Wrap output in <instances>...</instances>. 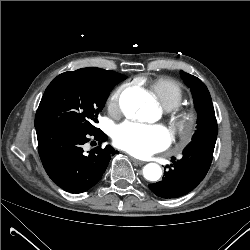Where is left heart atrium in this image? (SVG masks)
<instances>
[{"label":"left heart atrium","mask_w":250,"mask_h":250,"mask_svg":"<svg viewBox=\"0 0 250 250\" xmlns=\"http://www.w3.org/2000/svg\"><path fill=\"white\" fill-rule=\"evenodd\" d=\"M117 147L136 157H147L166 149L172 142L171 133L162 125L125 122L114 133Z\"/></svg>","instance_id":"1"}]
</instances>
